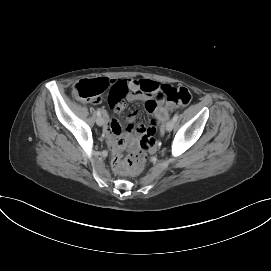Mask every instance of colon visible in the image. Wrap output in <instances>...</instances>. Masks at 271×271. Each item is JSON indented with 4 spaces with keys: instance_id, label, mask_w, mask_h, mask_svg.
I'll use <instances>...</instances> for the list:
<instances>
[{
    "instance_id": "obj_1",
    "label": "colon",
    "mask_w": 271,
    "mask_h": 271,
    "mask_svg": "<svg viewBox=\"0 0 271 271\" xmlns=\"http://www.w3.org/2000/svg\"><path fill=\"white\" fill-rule=\"evenodd\" d=\"M109 84L110 82L105 78L81 80L73 86L72 92L79 99L96 100L107 90ZM157 98L166 99L172 105L185 106L190 103L192 96L187 88L166 85L158 93ZM156 126V122L152 121L147 133L141 139L139 148L133 149L124 157L120 154L113 156L112 166L115 171L123 174H136L144 168L146 152L152 149L156 143L153 137Z\"/></svg>"
}]
</instances>
